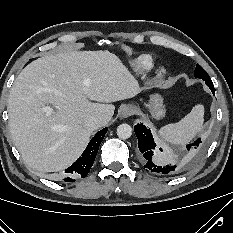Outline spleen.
Segmentation results:
<instances>
[{"instance_id":"obj_1","label":"spleen","mask_w":233,"mask_h":233,"mask_svg":"<svg viewBox=\"0 0 233 233\" xmlns=\"http://www.w3.org/2000/svg\"><path fill=\"white\" fill-rule=\"evenodd\" d=\"M203 116L204 107L198 104L179 122L163 126L159 130V134L163 139L172 144L184 145L190 142L201 131Z\"/></svg>"}]
</instances>
